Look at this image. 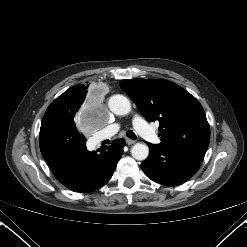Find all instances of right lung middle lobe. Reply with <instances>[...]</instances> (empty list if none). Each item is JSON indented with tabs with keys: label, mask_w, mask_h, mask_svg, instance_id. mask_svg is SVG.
I'll return each instance as SVG.
<instances>
[{
	"label": "right lung middle lobe",
	"mask_w": 247,
	"mask_h": 247,
	"mask_svg": "<svg viewBox=\"0 0 247 247\" xmlns=\"http://www.w3.org/2000/svg\"><path fill=\"white\" fill-rule=\"evenodd\" d=\"M81 107V101L72 95H60L55 99L45 112L44 117H52L75 124L78 111Z\"/></svg>",
	"instance_id": "right-lung-middle-lobe-1"
}]
</instances>
